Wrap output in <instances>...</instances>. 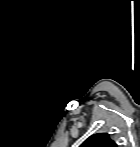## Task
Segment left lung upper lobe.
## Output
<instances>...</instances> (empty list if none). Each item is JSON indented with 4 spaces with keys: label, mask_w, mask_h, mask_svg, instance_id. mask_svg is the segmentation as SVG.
<instances>
[{
    "label": "left lung upper lobe",
    "mask_w": 140,
    "mask_h": 147,
    "mask_svg": "<svg viewBox=\"0 0 140 147\" xmlns=\"http://www.w3.org/2000/svg\"><path fill=\"white\" fill-rule=\"evenodd\" d=\"M80 147H117L106 133H99L90 136Z\"/></svg>",
    "instance_id": "obj_1"
}]
</instances>
